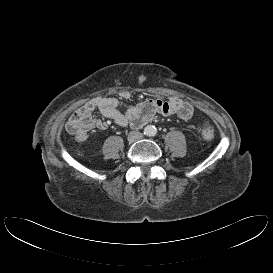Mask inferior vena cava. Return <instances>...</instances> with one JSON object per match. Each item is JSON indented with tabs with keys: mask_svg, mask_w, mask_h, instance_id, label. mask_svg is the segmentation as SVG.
I'll list each match as a JSON object with an SVG mask.
<instances>
[{
	"mask_svg": "<svg viewBox=\"0 0 273 273\" xmlns=\"http://www.w3.org/2000/svg\"><path fill=\"white\" fill-rule=\"evenodd\" d=\"M143 137V134L138 132V131H132L130 132V134L128 135V139L130 141H134V140H137V139H141Z\"/></svg>",
	"mask_w": 273,
	"mask_h": 273,
	"instance_id": "1",
	"label": "inferior vena cava"
}]
</instances>
